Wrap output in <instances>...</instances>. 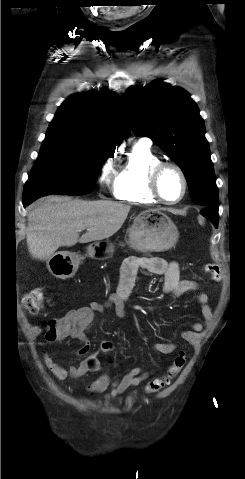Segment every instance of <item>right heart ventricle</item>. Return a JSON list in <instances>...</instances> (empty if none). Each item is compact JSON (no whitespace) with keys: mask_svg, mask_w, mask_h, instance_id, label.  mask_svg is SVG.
<instances>
[{"mask_svg":"<svg viewBox=\"0 0 245 479\" xmlns=\"http://www.w3.org/2000/svg\"><path fill=\"white\" fill-rule=\"evenodd\" d=\"M159 162L161 159L151 149L150 144L141 140L136 142L115 176L114 196L118 200L131 203H157V198L149 188V176L151 170Z\"/></svg>","mask_w":245,"mask_h":479,"instance_id":"e07e8e85","label":"right heart ventricle"}]
</instances>
